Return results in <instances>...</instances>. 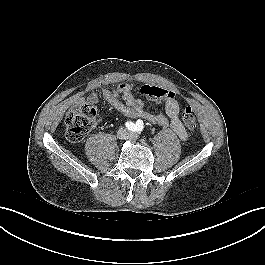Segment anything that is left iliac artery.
Wrapping results in <instances>:
<instances>
[{
  "label": "left iliac artery",
  "instance_id": "obj_1",
  "mask_svg": "<svg viewBox=\"0 0 265 265\" xmlns=\"http://www.w3.org/2000/svg\"><path fill=\"white\" fill-rule=\"evenodd\" d=\"M143 125H144V124H143V121H142V120H138V121L136 122V131L141 132V131L143 130V128H144Z\"/></svg>",
  "mask_w": 265,
  "mask_h": 265
}]
</instances>
